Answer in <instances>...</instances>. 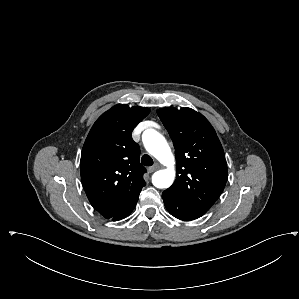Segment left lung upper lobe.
Wrapping results in <instances>:
<instances>
[{"label": "left lung upper lobe", "mask_w": 299, "mask_h": 299, "mask_svg": "<svg viewBox=\"0 0 299 299\" xmlns=\"http://www.w3.org/2000/svg\"><path fill=\"white\" fill-rule=\"evenodd\" d=\"M157 114L175 147L176 180L166 191L207 212L227 181L225 154L214 128L190 108L166 107Z\"/></svg>", "instance_id": "left-lung-upper-lobe-1"}]
</instances>
